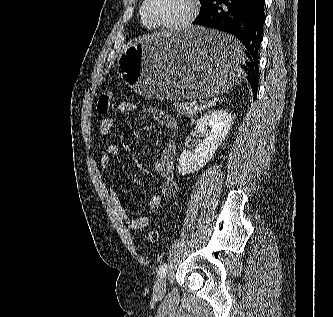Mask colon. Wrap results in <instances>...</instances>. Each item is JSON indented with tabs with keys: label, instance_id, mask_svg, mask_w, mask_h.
Instances as JSON below:
<instances>
[{
	"label": "colon",
	"instance_id": "1",
	"mask_svg": "<svg viewBox=\"0 0 333 317\" xmlns=\"http://www.w3.org/2000/svg\"><path fill=\"white\" fill-rule=\"evenodd\" d=\"M113 94L111 92L103 93L100 95L97 102V111L100 115H106L111 109ZM148 239L151 243H156L159 240V234L156 230L148 232Z\"/></svg>",
	"mask_w": 333,
	"mask_h": 317
}]
</instances>
